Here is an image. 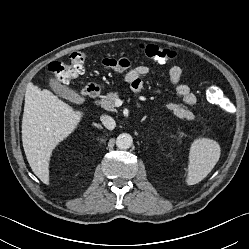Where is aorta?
<instances>
[{
	"mask_svg": "<svg viewBox=\"0 0 249 249\" xmlns=\"http://www.w3.org/2000/svg\"><path fill=\"white\" fill-rule=\"evenodd\" d=\"M133 143L132 136L128 133L120 134L116 139V146L119 149H129Z\"/></svg>",
	"mask_w": 249,
	"mask_h": 249,
	"instance_id": "762f6f07",
	"label": "aorta"
}]
</instances>
